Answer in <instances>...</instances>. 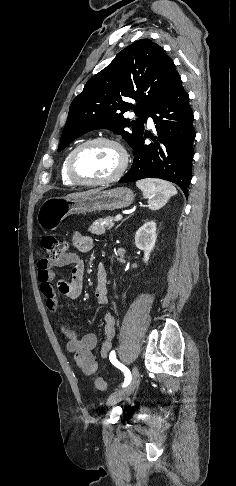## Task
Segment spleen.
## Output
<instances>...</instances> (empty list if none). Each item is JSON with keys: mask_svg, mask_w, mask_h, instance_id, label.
Listing matches in <instances>:
<instances>
[{"mask_svg": "<svg viewBox=\"0 0 236 486\" xmlns=\"http://www.w3.org/2000/svg\"><path fill=\"white\" fill-rule=\"evenodd\" d=\"M136 186L142 191L143 197L148 199L151 210L160 209L170 197L177 194V190L172 184L159 179H142L136 182Z\"/></svg>", "mask_w": 236, "mask_h": 486, "instance_id": "obj_1", "label": "spleen"}]
</instances>
